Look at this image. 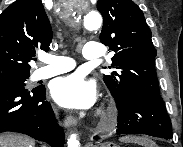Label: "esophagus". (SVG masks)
<instances>
[{
    "label": "esophagus",
    "instance_id": "esophagus-1",
    "mask_svg": "<svg viewBox=\"0 0 183 147\" xmlns=\"http://www.w3.org/2000/svg\"><path fill=\"white\" fill-rule=\"evenodd\" d=\"M64 125L67 128L75 129L77 126V120L73 116H67L64 119Z\"/></svg>",
    "mask_w": 183,
    "mask_h": 147
}]
</instances>
